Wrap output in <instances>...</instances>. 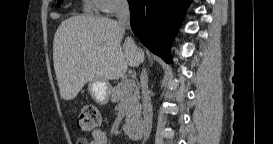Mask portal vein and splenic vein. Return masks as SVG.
Wrapping results in <instances>:
<instances>
[{
  "mask_svg": "<svg viewBox=\"0 0 273 144\" xmlns=\"http://www.w3.org/2000/svg\"><path fill=\"white\" fill-rule=\"evenodd\" d=\"M126 86L131 89L133 86H135V82L133 80H128Z\"/></svg>",
  "mask_w": 273,
  "mask_h": 144,
  "instance_id": "obj_1",
  "label": "portal vein and splenic vein"
}]
</instances>
